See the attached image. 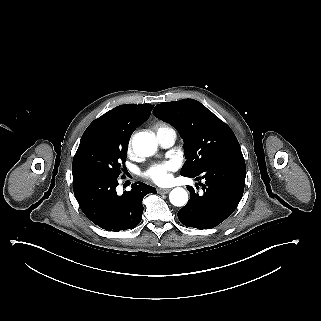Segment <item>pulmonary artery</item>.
Returning <instances> with one entry per match:
<instances>
[{"label":"pulmonary artery","instance_id":"e3ab8cb5","mask_svg":"<svg viewBox=\"0 0 321 321\" xmlns=\"http://www.w3.org/2000/svg\"><path fill=\"white\" fill-rule=\"evenodd\" d=\"M177 138V133L173 128L158 133V141L162 147H171Z\"/></svg>","mask_w":321,"mask_h":321}]
</instances>
